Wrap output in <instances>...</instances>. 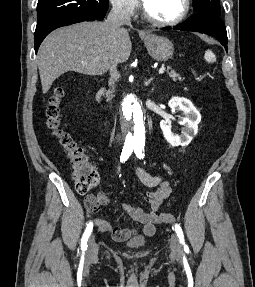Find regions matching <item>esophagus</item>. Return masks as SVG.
Masks as SVG:
<instances>
[{"label":"esophagus","mask_w":255,"mask_h":287,"mask_svg":"<svg viewBox=\"0 0 255 287\" xmlns=\"http://www.w3.org/2000/svg\"><path fill=\"white\" fill-rule=\"evenodd\" d=\"M143 34H145V35H146V34H147V32H143Z\"/></svg>","instance_id":"esophagus-1"}]
</instances>
